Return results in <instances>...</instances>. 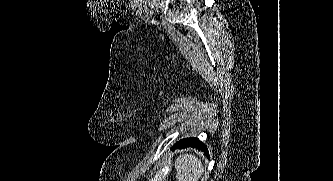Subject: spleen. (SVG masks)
I'll list each match as a JSON object with an SVG mask.
<instances>
[{"mask_svg":"<svg viewBox=\"0 0 333 181\" xmlns=\"http://www.w3.org/2000/svg\"><path fill=\"white\" fill-rule=\"evenodd\" d=\"M176 178L178 181H199L204 173L201 160L195 155H180L175 162Z\"/></svg>","mask_w":333,"mask_h":181,"instance_id":"spleen-1","label":"spleen"}]
</instances>
